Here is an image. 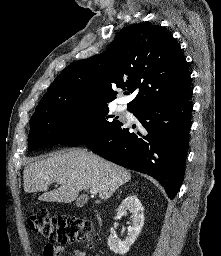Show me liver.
Instances as JSON below:
<instances>
[{
	"label": "liver",
	"instance_id": "1",
	"mask_svg": "<svg viewBox=\"0 0 221 256\" xmlns=\"http://www.w3.org/2000/svg\"><path fill=\"white\" fill-rule=\"evenodd\" d=\"M131 179L129 171L83 149H71L30 163L23 172L26 193L44 192L46 202L71 203L82 190L96 189L101 203ZM57 182L60 187L50 190Z\"/></svg>",
	"mask_w": 221,
	"mask_h": 256
}]
</instances>
